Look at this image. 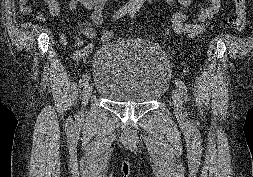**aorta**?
<instances>
[{
  "instance_id": "obj_1",
  "label": "aorta",
  "mask_w": 253,
  "mask_h": 177,
  "mask_svg": "<svg viewBox=\"0 0 253 177\" xmlns=\"http://www.w3.org/2000/svg\"><path fill=\"white\" fill-rule=\"evenodd\" d=\"M131 1L138 4V5H141L144 3L145 0H131Z\"/></svg>"
}]
</instances>
